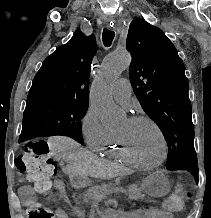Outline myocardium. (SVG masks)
<instances>
[{
  "instance_id": "f54148a6",
  "label": "myocardium",
  "mask_w": 211,
  "mask_h": 218,
  "mask_svg": "<svg viewBox=\"0 0 211 218\" xmlns=\"http://www.w3.org/2000/svg\"><path fill=\"white\" fill-rule=\"evenodd\" d=\"M129 120L131 122H140V121H146L148 123H150L157 131L158 135H159V138H160V142H161V147H162V154H161V157L160 159L157 161V162H154V163H146V162H143L139 159H137L133 153L131 152V150L129 149L126 141L124 140V138H122L121 136H119L118 134H116V140H117V143L120 147V149L122 150V152L124 153V155L135 165L137 166H140L142 168H154V167H157L159 166L163 161H164V158H165V155H166V141H165V135H164V132L162 130V128L159 126V124L154 120L152 119L151 117L149 116H146V115H134V116H131L129 118Z\"/></svg>"
}]
</instances>
